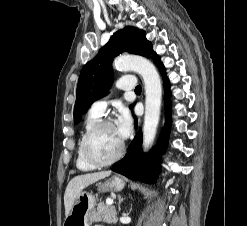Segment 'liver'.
Instances as JSON below:
<instances>
[{
	"label": "liver",
	"mask_w": 247,
	"mask_h": 226,
	"mask_svg": "<svg viewBox=\"0 0 247 226\" xmlns=\"http://www.w3.org/2000/svg\"><path fill=\"white\" fill-rule=\"evenodd\" d=\"M111 174L110 171H102L95 173H87L83 175H78L74 177L67 185L65 194H64V205H65V215H69L74 201L80 194V192L90 184L104 179Z\"/></svg>",
	"instance_id": "liver-1"
}]
</instances>
